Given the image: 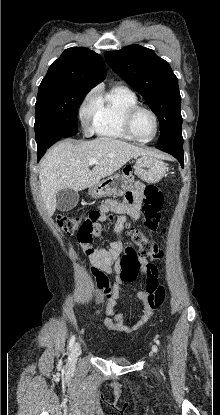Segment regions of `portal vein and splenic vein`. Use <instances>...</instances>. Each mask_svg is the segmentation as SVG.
Wrapping results in <instances>:
<instances>
[{
	"label": "portal vein and splenic vein",
	"instance_id": "obj_1",
	"mask_svg": "<svg viewBox=\"0 0 220 415\" xmlns=\"http://www.w3.org/2000/svg\"><path fill=\"white\" fill-rule=\"evenodd\" d=\"M89 164L90 165L98 164V160L96 158H91L89 159Z\"/></svg>",
	"mask_w": 220,
	"mask_h": 415
}]
</instances>
